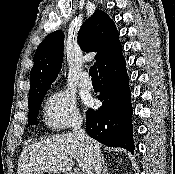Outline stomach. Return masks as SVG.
<instances>
[{
    "label": "stomach",
    "instance_id": "obj_1",
    "mask_svg": "<svg viewBox=\"0 0 175 174\" xmlns=\"http://www.w3.org/2000/svg\"><path fill=\"white\" fill-rule=\"evenodd\" d=\"M31 174H39V173H37V172H32Z\"/></svg>",
    "mask_w": 175,
    "mask_h": 174
}]
</instances>
